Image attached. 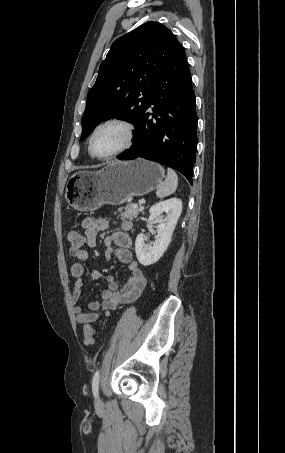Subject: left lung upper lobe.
<instances>
[{
	"label": "left lung upper lobe",
	"mask_w": 285,
	"mask_h": 453,
	"mask_svg": "<svg viewBox=\"0 0 285 453\" xmlns=\"http://www.w3.org/2000/svg\"><path fill=\"white\" fill-rule=\"evenodd\" d=\"M180 43L158 22H147L118 38L101 63L87 96L81 140L97 124L117 118L134 126L148 106L166 64Z\"/></svg>",
	"instance_id": "5c2ea615"
}]
</instances>
